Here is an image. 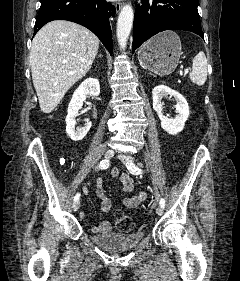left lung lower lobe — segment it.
I'll use <instances>...</instances> for the list:
<instances>
[{"instance_id": "0a47b994", "label": "left lung lower lobe", "mask_w": 240, "mask_h": 281, "mask_svg": "<svg viewBox=\"0 0 240 281\" xmlns=\"http://www.w3.org/2000/svg\"><path fill=\"white\" fill-rule=\"evenodd\" d=\"M198 0H141L133 22V52L164 30L191 31L204 38L197 10Z\"/></svg>"}]
</instances>
